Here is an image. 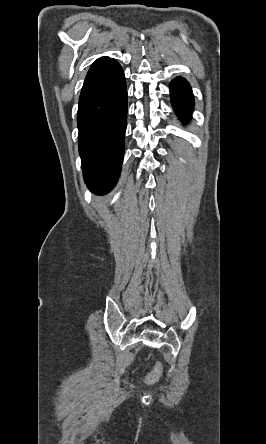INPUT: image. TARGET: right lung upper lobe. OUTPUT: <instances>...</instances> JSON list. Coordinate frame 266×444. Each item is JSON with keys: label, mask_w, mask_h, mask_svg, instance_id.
Listing matches in <instances>:
<instances>
[{"label": "right lung upper lobe", "mask_w": 266, "mask_h": 444, "mask_svg": "<svg viewBox=\"0 0 266 444\" xmlns=\"http://www.w3.org/2000/svg\"><path fill=\"white\" fill-rule=\"evenodd\" d=\"M111 58L108 57H101L99 59H97L90 67L88 74L93 73L95 70H97L98 68H100L103 64H105L106 62H108Z\"/></svg>", "instance_id": "right-lung-upper-lobe-1"}]
</instances>
